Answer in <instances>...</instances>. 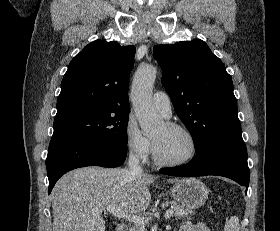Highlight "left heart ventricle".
<instances>
[{
  "instance_id": "left-heart-ventricle-1",
  "label": "left heart ventricle",
  "mask_w": 280,
  "mask_h": 231,
  "mask_svg": "<svg viewBox=\"0 0 280 231\" xmlns=\"http://www.w3.org/2000/svg\"><path fill=\"white\" fill-rule=\"evenodd\" d=\"M157 143V151L165 160H180L192 151V144L187 135L170 128L166 124L159 127L152 135Z\"/></svg>"
}]
</instances>
